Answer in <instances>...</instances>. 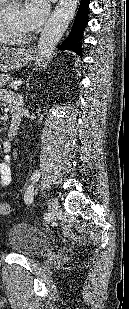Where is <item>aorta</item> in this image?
<instances>
[{
  "label": "aorta",
  "instance_id": "aorta-1",
  "mask_svg": "<svg viewBox=\"0 0 129 309\" xmlns=\"http://www.w3.org/2000/svg\"><path fill=\"white\" fill-rule=\"evenodd\" d=\"M75 2L76 0H65L44 27L38 43L37 62L39 68L45 67L59 43Z\"/></svg>",
  "mask_w": 129,
  "mask_h": 309
}]
</instances>
